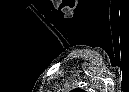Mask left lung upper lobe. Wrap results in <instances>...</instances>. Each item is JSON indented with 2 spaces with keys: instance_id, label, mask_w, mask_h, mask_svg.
Instances as JSON below:
<instances>
[{
  "instance_id": "5c2ea615",
  "label": "left lung upper lobe",
  "mask_w": 129,
  "mask_h": 92,
  "mask_svg": "<svg viewBox=\"0 0 129 92\" xmlns=\"http://www.w3.org/2000/svg\"><path fill=\"white\" fill-rule=\"evenodd\" d=\"M72 92H84V90L77 88V89L72 90Z\"/></svg>"
}]
</instances>
